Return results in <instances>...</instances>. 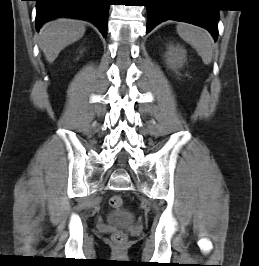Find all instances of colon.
Instances as JSON below:
<instances>
[{
	"mask_svg": "<svg viewBox=\"0 0 259 266\" xmlns=\"http://www.w3.org/2000/svg\"><path fill=\"white\" fill-rule=\"evenodd\" d=\"M110 206L115 209H121L124 205L123 198L120 195H114L109 200ZM113 240L116 244L122 245L127 242V236L123 232L114 234Z\"/></svg>",
	"mask_w": 259,
	"mask_h": 266,
	"instance_id": "colon-1",
	"label": "colon"
}]
</instances>
